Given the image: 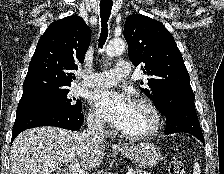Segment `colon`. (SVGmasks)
<instances>
[{
	"mask_svg": "<svg viewBox=\"0 0 224 174\" xmlns=\"http://www.w3.org/2000/svg\"><path fill=\"white\" fill-rule=\"evenodd\" d=\"M169 174H186V168L184 164L179 160H171L168 163Z\"/></svg>",
	"mask_w": 224,
	"mask_h": 174,
	"instance_id": "1",
	"label": "colon"
}]
</instances>
